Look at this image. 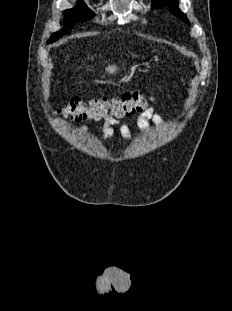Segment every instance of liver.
<instances>
[{
    "label": "liver",
    "mask_w": 232,
    "mask_h": 311,
    "mask_svg": "<svg viewBox=\"0 0 232 311\" xmlns=\"http://www.w3.org/2000/svg\"><path fill=\"white\" fill-rule=\"evenodd\" d=\"M116 70H117V67L116 66H108L107 68H106V71L108 72V73H110V74H114L115 72H116Z\"/></svg>",
    "instance_id": "liver-1"
}]
</instances>
